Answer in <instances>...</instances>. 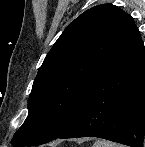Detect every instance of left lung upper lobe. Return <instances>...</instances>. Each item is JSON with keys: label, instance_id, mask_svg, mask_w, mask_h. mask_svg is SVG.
<instances>
[{"label": "left lung upper lobe", "instance_id": "5c2ea615", "mask_svg": "<svg viewBox=\"0 0 145 147\" xmlns=\"http://www.w3.org/2000/svg\"><path fill=\"white\" fill-rule=\"evenodd\" d=\"M127 13L112 4L95 6L70 23L40 67L28 99V117L14 147L47 143L75 120Z\"/></svg>", "mask_w": 145, "mask_h": 147}]
</instances>
